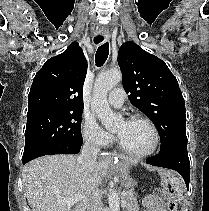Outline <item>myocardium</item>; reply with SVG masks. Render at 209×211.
Masks as SVG:
<instances>
[{"label":"myocardium","mask_w":209,"mask_h":211,"mask_svg":"<svg viewBox=\"0 0 209 211\" xmlns=\"http://www.w3.org/2000/svg\"><path fill=\"white\" fill-rule=\"evenodd\" d=\"M129 121H139V122H143L146 125H148V127L151 129V132H152V135H153L152 145L146 151H143V152H132V151L126 149L120 143L119 139L117 138L116 139L117 148L122 153H124V154H126V155H128L130 157L136 158V159H142V158H146V157H149V156L153 155L157 151V149L159 147V144H160V134H159L158 128L155 125V123L151 119H149L148 117H145V116H142V115H134V116H132L129 119Z\"/></svg>","instance_id":"1"}]
</instances>
